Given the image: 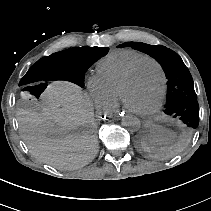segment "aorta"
I'll list each match as a JSON object with an SVG mask.
<instances>
[{"instance_id":"obj_1","label":"aorta","mask_w":211,"mask_h":211,"mask_svg":"<svg viewBox=\"0 0 211 211\" xmlns=\"http://www.w3.org/2000/svg\"><path fill=\"white\" fill-rule=\"evenodd\" d=\"M122 126L129 131L135 132L140 129L141 122L139 118L134 115H126L122 119Z\"/></svg>"}]
</instances>
